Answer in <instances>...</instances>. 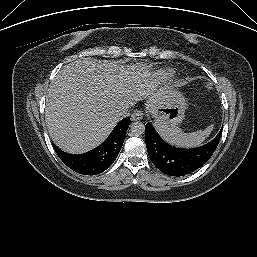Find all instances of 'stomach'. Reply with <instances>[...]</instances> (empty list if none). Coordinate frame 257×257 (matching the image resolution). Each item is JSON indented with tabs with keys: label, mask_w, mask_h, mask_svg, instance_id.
<instances>
[{
	"label": "stomach",
	"mask_w": 257,
	"mask_h": 257,
	"mask_svg": "<svg viewBox=\"0 0 257 257\" xmlns=\"http://www.w3.org/2000/svg\"><path fill=\"white\" fill-rule=\"evenodd\" d=\"M186 100L181 92L167 87L163 98L149 112L155 118V125L168 127L178 125L184 119Z\"/></svg>",
	"instance_id": "stomach-1"
}]
</instances>
